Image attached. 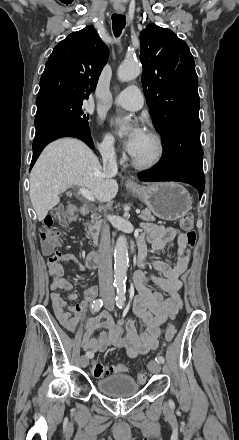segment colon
<instances>
[{
  "instance_id": "5ec220e1",
  "label": "colon",
  "mask_w": 239,
  "mask_h": 440,
  "mask_svg": "<svg viewBox=\"0 0 239 440\" xmlns=\"http://www.w3.org/2000/svg\"><path fill=\"white\" fill-rule=\"evenodd\" d=\"M53 217L62 224H68L77 220V211L73 203H68L64 206L55 209ZM194 219L193 215L188 213L180 219V227L186 231V237L189 245L193 246L196 241V233L193 230ZM59 242V234L52 228V219L46 220V227L41 233V244L45 254H50L54 251ZM176 334L175 326L169 325L165 329V339L170 343ZM127 367L124 363H118L114 366H106L99 361H94L91 365V373L93 376L100 378L108 376L111 372L121 373L125 372ZM146 378L145 373L138 374V380L143 382Z\"/></svg>"
}]
</instances>
